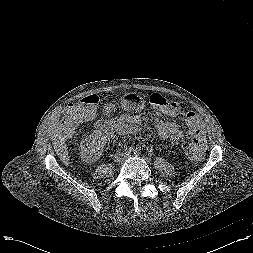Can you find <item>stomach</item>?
<instances>
[{
    "mask_svg": "<svg viewBox=\"0 0 253 253\" xmlns=\"http://www.w3.org/2000/svg\"><path fill=\"white\" fill-rule=\"evenodd\" d=\"M120 108L127 112H141L145 108V100L140 94L126 93L120 100Z\"/></svg>",
    "mask_w": 253,
    "mask_h": 253,
    "instance_id": "0dacf381",
    "label": "stomach"
}]
</instances>
